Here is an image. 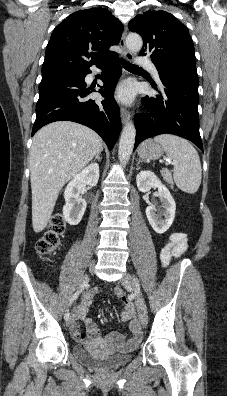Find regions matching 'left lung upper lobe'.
I'll use <instances>...</instances> for the list:
<instances>
[{
    "mask_svg": "<svg viewBox=\"0 0 227 396\" xmlns=\"http://www.w3.org/2000/svg\"><path fill=\"white\" fill-rule=\"evenodd\" d=\"M128 27L141 35L144 45L140 55L150 54L157 69L198 76L188 29L172 14L149 10L132 19Z\"/></svg>",
    "mask_w": 227,
    "mask_h": 396,
    "instance_id": "5c2ea615",
    "label": "left lung upper lobe"
}]
</instances>
